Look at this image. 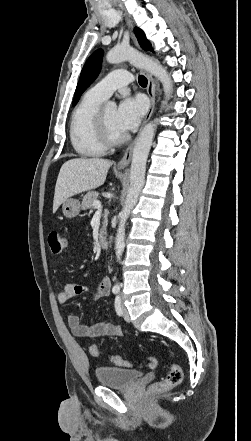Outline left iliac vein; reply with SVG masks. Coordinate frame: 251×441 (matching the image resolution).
Here are the masks:
<instances>
[{
  "label": "left iliac vein",
  "mask_w": 251,
  "mask_h": 441,
  "mask_svg": "<svg viewBox=\"0 0 251 441\" xmlns=\"http://www.w3.org/2000/svg\"><path fill=\"white\" fill-rule=\"evenodd\" d=\"M121 309H122V315H123V318L126 320V321H130V316H129V313H128V311H127V308L124 306V305H122L121 306Z\"/></svg>",
  "instance_id": "4c4485c4"
}]
</instances>
